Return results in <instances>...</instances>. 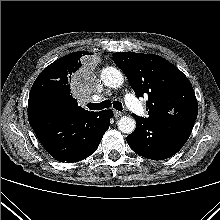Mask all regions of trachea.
I'll return each mask as SVG.
<instances>
[{
  "label": "trachea",
  "instance_id": "obj_1",
  "mask_svg": "<svg viewBox=\"0 0 220 220\" xmlns=\"http://www.w3.org/2000/svg\"><path fill=\"white\" fill-rule=\"evenodd\" d=\"M112 104H113V108H115L118 111H122L123 109L122 103L119 101H114L113 103H111L110 100H105L101 103H88L87 106L90 110H101L104 108L111 107Z\"/></svg>",
  "mask_w": 220,
  "mask_h": 220
}]
</instances>
